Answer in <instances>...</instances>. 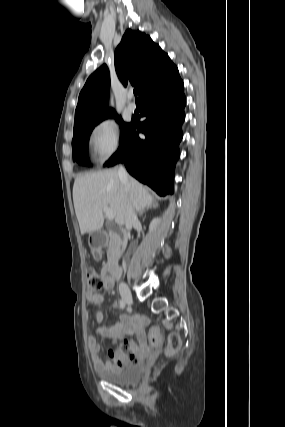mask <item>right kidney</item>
Segmentation results:
<instances>
[{
  "label": "right kidney",
  "mask_w": 285,
  "mask_h": 427,
  "mask_svg": "<svg viewBox=\"0 0 285 427\" xmlns=\"http://www.w3.org/2000/svg\"><path fill=\"white\" fill-rule=\"evenodd\" d=\"M159 224H160V219H158V218H154V219L151 221L150 226H149V231H150V233H154V232H156V230H157V228H158Z\"/></svg>",
  "instance_id": "obj_1"
}]
</instances>
